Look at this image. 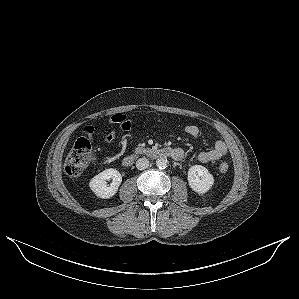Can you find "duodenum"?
Segmentation results:
<instances>
[{"label":"duodenum","mask_w":299,"mask_h":299,"mask_svg":"<svg viewBox=\"0 0 299 299\" xmlns=\"http://www.w3.org/2000/svg\"><path fill=\"white\" fill-rule=\"evenodd\" d=\"M146 153L150 157H165L175 159L178 156L177 150L170 147L148 149ZM136 157V154L127 155L122 161L123 166L131 167L134 164Z\"/></svg>","instance_id":"410a0bca"}]
</instances>
